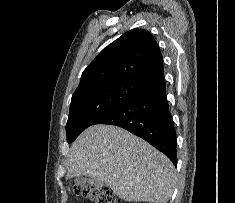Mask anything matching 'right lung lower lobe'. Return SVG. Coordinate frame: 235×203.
<instances>
[{
  "label": "right lung lower lobe",
  "instance_id": "1",
  "mask_svg": "<svg viewBox=\"0 0 235 203\" xmlns=\"http://www.w3.org/2000/svg\"><path fill=\"white\" fill-rule=\"evenodd\" d=\"M95 124L126 129L164 153L177 166L176 131L163 78L102 116Z\"/></svg>",
  "mask_w": 235,
  "mask_h": 203
}]
</instances>
